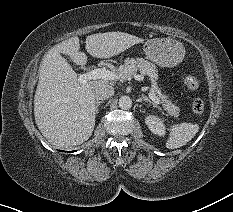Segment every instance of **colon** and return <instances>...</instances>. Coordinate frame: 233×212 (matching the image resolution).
I'll list each match as a JSON object with an SVG mask.
<instances>
[{
	"label": "colon",
	"instance_id": "1",
	"mask_svg": "<svg viewBox=\"0 0 233 212\" xmlns=\"http://www.w3.org/2000/svg\"><path fill=\"white\" fill-rule=\"evenodd\" d=\"M184 84L190 90H198L200 87L199 81L192 75H186L184 77ZM192 109L194 113L202 114L205 109L203 100L201 98H195L193 100Z\"/></svg>",
	"mask_w": 233,
	"mask_h": 212
}]
</instances>
